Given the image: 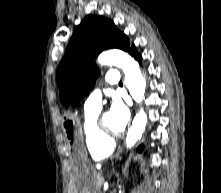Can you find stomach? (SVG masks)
Returning a JSON list of instances; mask_svg holds the SVG:
<instances>
[{
    "label": "stomach",
    "mask_w": 221,
    "mask_h": 193,
    "mask_svg": "<svg viewBox=\"0 0 221 193\" xmlns=\"http://www.w3.org/2000/svg\"><path fill=\"white\" fill-rule=\"evenodd\" d=\"M61 125V134H65L68 152L73 158L71 159V167H75L76 193H96L95 177H98V169H96V164H91L86 159L84 133L81 129L79 115H64Z\"/></svg>",
    "instance_id": "obj_1"
}]
</instances>
